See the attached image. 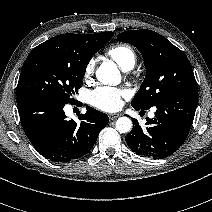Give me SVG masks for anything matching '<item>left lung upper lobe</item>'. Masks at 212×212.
Returning <instances> with one entry per match:
<instances>
[{"label":"left lung upper lobe","mask_w":212,"mask_h":212,"mask_svg":"<svg viewBox=\"0 0 212 212\" xmlns=\"http://www.w3.org/2000/svg\"><path fill=\"white\" fill-rule=\"evenodd\" d=\"M118 40L137 47L147 70L131 102L133 107L147 110L174 95L198 91L188 58L160 34L147 29L130 30L120 33Z\"/></svg>","instance_id":"5c2ea615"}]
</instances>
